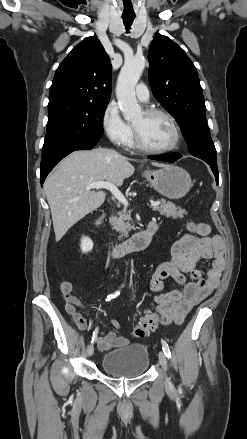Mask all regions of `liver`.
<instances>
[{
  "label": "liver",
  "mask_w": 247,
  "mask_h": 439,
  "mask_svg": "<svg viewBox=\"0 0 247 439\" xmlns=\"http://www.w3.org/2000/svg\"><path fill=\"white\" fill-rule=\"evenodd\" d=\"M152 165L164 166L158 162H152ZM133 173L134 167L129 159L112 149L75 151L62 160L44 183L56 241L104 203L106 193L87 190V185L107 181L122 186L124 179Z\"/></svg>",
  "instance_id": "1"
}]
</instances>
